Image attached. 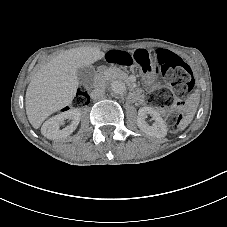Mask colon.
I'll list each match as a JSON object with an SVG mask.
<instances>
[{
	"instance_id": "5ec220e1",
	"label": "colon",
	"mask_w": 227,
	"mask_h": 227,
	"mask_svg": "<svg viewBox=\"0 0 227 227\" xmlns=\"http://www.w3.org/2000/svg\"><path fill=\"white\" fill-rule=\"evenodd\" d=\"M108 62L129 68H138L147 73L154 67H160L172 90L162 88L150 96V103L155 108L165 109L187 98L194 88L192 70L179 56L167 50L156 51L153 60L139 52L110 51L105 55ZM89 102L88 89L81 86L72 100L74 107H83ZM183 115L181 111H173L167 116L166 123L170 130L178 128Z\"/></svg>"
}]
</instances>
